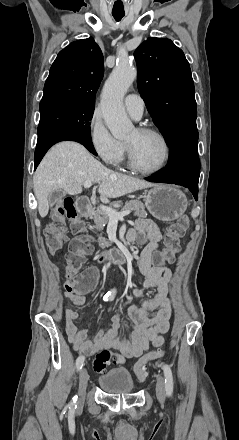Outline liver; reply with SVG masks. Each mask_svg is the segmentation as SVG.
Returning <instances> with one entry per match:
<instances>
[{"mask_svg": "<svg viewBox=\"0 0 239 440\" xmlns=\"http://www.w3.org/2000/svg\"><path fill=\"white\" fill-rule=\"evenodd\" d=\"M84 182H102L100 198H120L137 190L152 188L138 178L117 174L95 160L84 146L76 142H60L50 148L33 176V188L38 202V212L45 218L49 212L48 196L62 188L70 196L81 194Z\"/></svg>", "mask_w": 239, "mask_h": 440, "instance_id": "obj_1", "label": "liver"}]
</instances>
